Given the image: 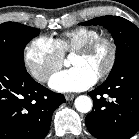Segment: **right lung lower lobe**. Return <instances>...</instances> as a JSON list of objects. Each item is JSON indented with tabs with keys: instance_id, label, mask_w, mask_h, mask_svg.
I'll use <instances>...</instances> for the list:
<instances>
[{
	"instance_id": "98d812e1",
	"label": "right lung lower lobe",
	"mask_w": 139,
	"mask_h": 139,
	"mask_svg": "<svg viewBox=\"0 0 139 139\" xmlns=\"http://www.w3.org/2000/svg\"><path fill=\"white\" fill-rule=\"evenodd\" d=\"M65 101L37 83L25 65L0 58V139H43Z\"/></svg>"
}]
</instances>
